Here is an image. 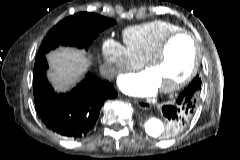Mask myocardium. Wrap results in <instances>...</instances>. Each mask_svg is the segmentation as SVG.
Here are the masks:
<instances>
[{"instance_id": "1", "label": "myocardium", "mask_w": 240, "mask_h": 160, "mask_svg": "<svg viewBox=\"0 0 240 160\" xmlns=\"http://www.w3.org/2000/svg\"><path fill=\"white\" fill-rule=\"evenodd\" d=\"M178 36H187L191 40L193 47H194V51H195L194 63L192 65L190 71L187 73V75L185 77H183L182 79H180L179 81H177L174 84H171V85L165 86V87H160L159 90L163 93H171V92L177 91V90L183 88L184 86H186L195 77V75L199 69L200 63H201V57H202L201 46H200L198 40L196 39V37L189 31L178 30V31H175V32H172V33L166 35L160 41V43L157 45V47L154 49V51L142 62V67L144 69H147L148 66H150V65L156 63L158 60H160L162 58V56L164 55L168 44L174 38H176Z\"/></svg>"}]
</instances>
